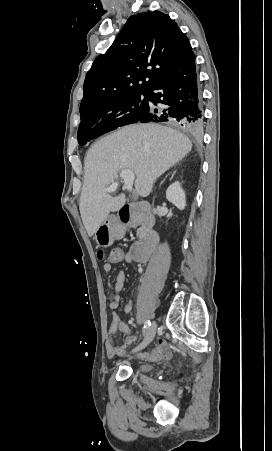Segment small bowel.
<instances>
[{
  "label": "small bowel",
  "instance_id": "c3829d8e",
  "mask_svg": "<svg viewBox=\"0 0 272 451\" xmlns=\"http://www.w3.org/2000/svg\"><path fill=\"white\" fill-rule=\"evenodd\" d=\"M112 270V262H105L103 265V273L105 275H108ZM126 275L123 270L119 271L116 279H115V285H114V292L111 295V299L109 302V308L112 311V324L109 329V333L111 335H115L116 333L120 332L125 335V338L122 342V345L112 347L110 345L107 346V355L109 359H113L115 356L124 357L126 355L125 348L126 346L132 344L136 336L133 334L131 328L128 326V324L124 321H122L118 314L117 309L119 307L121 296L120 292L124 288ZM124 311L126 313H130L133 309L132 302H128L123 307ZM164 352H168L172 357V350L170 347L169 342L164 338H159L156 346L147 352H141L138 354V357L145 360H151V361H160L163 360L161 358V355Z\"/></svg>",
  "mask_w": 272,
  "mask_h": 451
}]
</instances>
